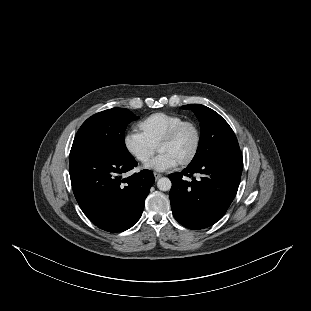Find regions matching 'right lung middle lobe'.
Returning <instances> with one entry per match:
<instances>
[{
	"mask_svg": "<svg viewBox=\"0 0 311 311\" xmlns=\"http://www.w3.org/2000/svg\"><path fill=\"white\" fill-rule=\"evenodd\" d=\"M136 119L138 117L126 108H112L91 116L78 130L70 157L89 149L131 156L125 145L124 132L126 126Z\"/></svg>",
	"mask_w": 311,
	"mask_h": 311,
	"instance_id": "obj_1",
	"label": "right lung middle lobe"
}]
</instances>
